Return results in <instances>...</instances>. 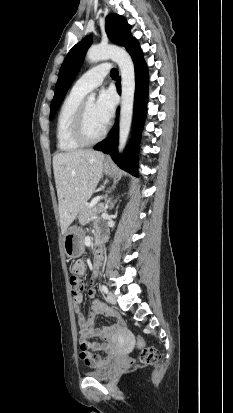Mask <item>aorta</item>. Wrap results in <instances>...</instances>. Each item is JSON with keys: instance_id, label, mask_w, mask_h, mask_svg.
<instances>
[{"instance_id": "762f6f07", "label": "aorta", "mask_w": 233, "mask_h": 413, "mask_svg": "<svg viewBox=\"0 0 233 413\" xmlns=\"http://www.w3.org/2000/svg\"><path fill=\"white\" fill-rule=\"evenodd\" d=\"M86 58L89 62L111 59L116 62L121 72V109L119 122V152H122L127 142L133 115L135 92V70L130 55L122 48L112 45L92 46L88 49ZM95 101V94L88 96V102Z\"/></svg>"}]
</instances>
